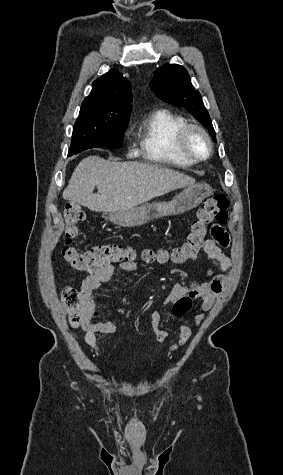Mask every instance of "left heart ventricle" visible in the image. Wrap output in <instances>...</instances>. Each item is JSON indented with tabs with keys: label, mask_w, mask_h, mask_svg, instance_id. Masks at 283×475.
<instances>
[{
	"label": "left heart ventricle",
	"mask_w": 283,
	"mask_h": 475,
	"mask_svg": "<svg viewBox=\"0 0 283 475\" xmlns=\"http://www.w3.org/2000/svg\"><path fill=\"white\" fill-rule=\"evenodd\" d=\"M186 150L191 155L204 156L208 151V145L206 140L198 132L193 131L189 134L186 144ZM167 152L173 156H176L178 153H180V150H178L173 145H169L167 147Z\"/></svg>",
	"instance_id": "obj_1"
}]
</instances>
